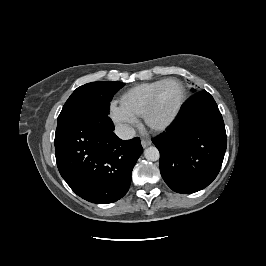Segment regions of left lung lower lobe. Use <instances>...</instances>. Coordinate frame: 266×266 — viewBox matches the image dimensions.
I'll return each mask as SVG.
<instances>
[{
  "mask_svg": "<svg viewBox=\"0 0 266 266\" xmlns=\"http://www.w3.org/2000/svg\"><path fill=\"white\" fill-rule=\"evenodd\" d=\"M160 152V172L175 192L207 187L218 175L227 137L218 106L206 91L193 95L166 133L152 140Z\"/></svg>",
  "mask_w": 266,
  "mask_h": 266,
  "instance_id": "left-lung-lower-lobe-1",
  "label": "left lung lower lobe"
}]
</instances>
